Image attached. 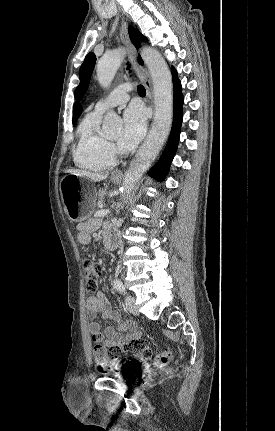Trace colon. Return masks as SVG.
<instances>
[{
	"label": "colon",
	"mask_w": 275,
	"mask_h": 431,
	"mask_svg": "<svg viewBox=\"0 0 275 431\" xmlns=\"http://www.w3.org/2000/svg\"><path fill=\"white\" fill-rule=\"evenodd\" d=\"M83 269L86 277L87 291L94 293L97 290L102 274V265L94 260H85ZM92 338L95 342L94 356L97 367L103 373L112 371L121 364L120 353L122 351L138 354L145 361L153 359L152 364L155 367L167 365L172 358V351L170 349L163 350L153 358L149 344L145 340H133L123 347H114L106 350L102 345L103 335L100 332L93 334Z\"/></svg>",
	"instance_id": "colon-1"
}]
</instances>
